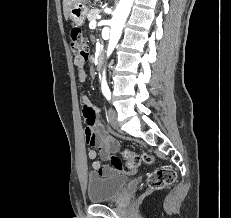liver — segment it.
<instances>
[{
	"label": "liver",
	"mask_w": 231,
	"mask_h": 218,
	"mask_svg": "<svg viewBox=\"0 0 231 218\" xmlns=\"http://www.w3.org/2000/svg\"><path fill=\"white\" fill-rule=\"evenodd\" d=\"M83 1L85 0H63V13L66 20L69 17V11L72 5L76 2H83Z\"/></svg>",
	"instance_id": "liver-1"
}]
</instances>
